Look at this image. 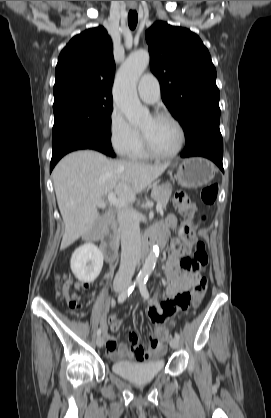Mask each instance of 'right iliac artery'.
<instances>
[{"label":"right iliac artery","instance_id":"82829eb1","mask_svg":"<svg viewBox=\"0 0 271 418\" xmlns=\"http://www.w3.org/2000/svg\"><path fill=\"white\" fill-rule=\"evenodd\" d=\"M139 281H135L132 284L128 285L118 296V303H123L127 297L132 293L135 286L138 284ZM101 328L97 330V336L101 335Z\"/></svg>","mask_w":271,"mask_h":418}]
</instances>
